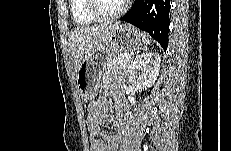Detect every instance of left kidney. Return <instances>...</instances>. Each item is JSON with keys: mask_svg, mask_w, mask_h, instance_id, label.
Listing matches in <instances>:
<instances>
[{"mask_svg": "<svg viewBox=\"0 0 231 151\" xmlns=\"http://www.w3.org/2000/svg\"><path fill=\"white\" fill-rule=\"evenodd\" d=\"M161 57L157 53L146 52L138 55L130 66V81L137 87H151L160 69Z\"/></svg>", "mask_w": 231, "mask_h": 151, "instance_id": "obj_1", "label": "left kidney"}]
</instances>
